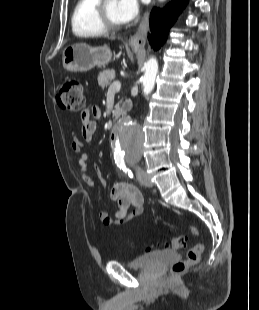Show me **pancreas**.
Listing matches in <instances>:
<instances>
[{
  "label": "pancreas",
  "instance_id": "pancreas-1",
  "mask_svg": "<svg viewBox=\"0 0 259 310\" xmlns=\"http://www.w3.org/2000/svg\"><path fill=\"white\" fill-rule=\"evenodd\" d=\"M115 73L113 70H106L98 75V84L102 89H105L110 85V83L114 80ZM119 108V103L116 105V110Z\"/></svg>",
  "mask_w": 259,
  "mask_h": 310
}]
</instances>
